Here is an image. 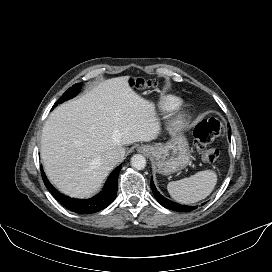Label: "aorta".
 <instances>
[{"label": "aorta", "instance_id": "aorta-1", "mask_svg": "<svg viewBox=\"0 0 272 272\" xmlns=\"http://www.w3.org/2000/svg\"><path fill=\"white\" fill-rule=\"evenodd\" d=\"M131 165L137 170H142L146 166V159L143 155L135 154L131 158Z\"/></svg>", "mask_w": 272, "mask_h": 272}]
</instances>
